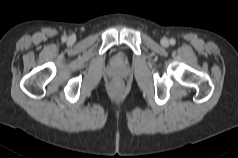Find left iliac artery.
I'll use <instances>...</instances> for the list:
<instances>
[{
  "label": "left iliac artery",
  "instance_id": "left-iliac-artery-1",
  "mask_svg": "<svg viewBox=\"0 0 238 158\" xmlns=\"http://www.w3.org/2000/svg\"><path fill=\"white\" fill-rule=\"evenodd\" d=\"M175 43H176L175 39H173V38L170 39V44H171V45H175Z\"/></svg>",
  "mask_w": 238,
  "mask_h": 158
}]
</instances>
